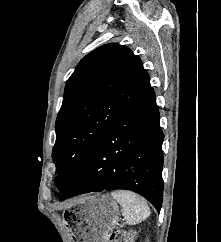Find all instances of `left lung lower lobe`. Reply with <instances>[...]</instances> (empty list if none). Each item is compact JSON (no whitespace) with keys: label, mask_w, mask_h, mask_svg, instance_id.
<instances>
[{"label":"left lung lower lobe","mask_w":221,"mask_h":242,"mask_svg":"<svg viewBox=\"0 0 221 242\" xmlns=\"http://www.w3.org/2000/svg\"><path fill=\"white\" fill-rule=\"evenodd\" d=\"M159 120L150 87L102 134L81 177L64 191L61 201L84 193L126 189L160 211L164 135Z\"/></svg>","instance_id":"0a47b994"}]
</instances>
